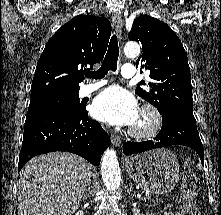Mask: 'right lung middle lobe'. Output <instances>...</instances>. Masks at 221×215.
<instances>
[{
    "mask_svg": "<svg viewBox=\"0 0 221 215\" xmlns=\"http://www.w3.org/2000/svg\"><path fill=\"white\" fill-rule=\"evenodd\" d=\"M83 108L78 93L56 94L30 101L27 116L46 112L76 114L81 112Z\"/></svg>",
    "mask_w": 221,
    "mask_h": 215,
    "instance_id": "right-lung-middle-lobe-1",
    "label": "right lung middle lobe"
}]
</instances>
